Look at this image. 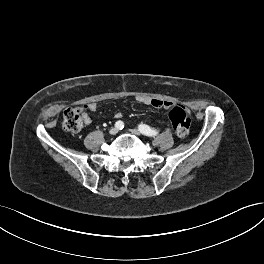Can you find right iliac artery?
<instances>
[{"label": "right iliac artery", "instance_id": "82829eb1", "mask_svg": "<svg viewBox=\"0 0 264 264\" xmlns=\"http://www.w3.org/2000/svg\"><path fill=\"white\" fill-rule=\"evenodd\" d=\"M115 127L118 128V129H120V130L123 129V127H124L123 121H121V120L117 121L115 123Z\"/></svg>", "mask_w": 264, "mask_h": 264}]
</instances>
